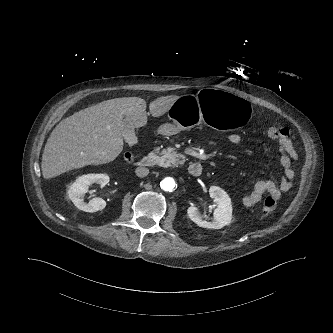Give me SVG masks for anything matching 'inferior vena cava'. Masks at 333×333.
I'll return each mask as SVG.
<instances>
[{
    "mask_svg": "<svg viewBox=\"0 0 333 333\" xmlns=\"http://www.w3.org/2000/svg\"><path fill=\"white\" fill-rule=\"evenodd\" d=\"M135 173L138 177H145L149 173V169L146 167H138L135 170Z\"/></svg>",
    "mask_w": 333,
    "mask_h": 333,
    "instance_id": "inferior-vena-cava-1",
    "label": "inferior vena cava"
}]
</instances>
